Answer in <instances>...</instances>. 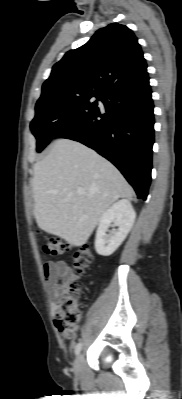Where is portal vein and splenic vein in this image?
I'll use <instances>...</instances> for the list:
<instances>
[{
    "label": "portal vein and splenic vein",
    "instance_id": "obj_1",
    "mask_svg": "<svg viewBox=\"0 0 182 399\" xmlns=\"http://www.w3.org/2000/svg\"><path fill=\"white\" fill-rule=\"evenodd\" d=\"M78 193L82 194L84 193V189L83 188H77Z\"/></svg>",
    "mask_w": 182,
    "mask_h": 399
}]
</instances>
